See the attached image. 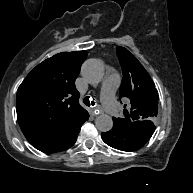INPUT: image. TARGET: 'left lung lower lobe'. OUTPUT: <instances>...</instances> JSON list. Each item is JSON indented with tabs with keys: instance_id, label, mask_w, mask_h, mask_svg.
I'll return each instance as SVG.
<instances>
[{
	"instance_id": "0a47b994",
	"label": "left lung lower lobe",
	"mask_w": 193,
	"mask_h": 193,
	"mask_svg": "<svg viewBox=\"0 0 193 193\" xmlns=\"http://www.w3.org/2000/svg\"><path fill=\"white\" fill-rule=\"evenodd\" d=\"M155 126L153 123L144 125H126L114 123L113 128L101 134L103 141L109 146L122 151H135L140 149L151 138Z\"/></svg>"
}]
</instances>
